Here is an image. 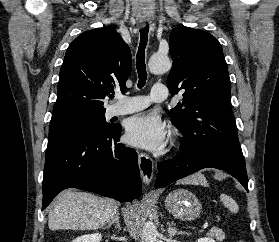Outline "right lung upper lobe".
Segmentation results:
<instances>
[{"instance_id":"obj_1","label":"right lung upper lobe","mask_w":279,"mask_h":242,"mask_svg":"<svg viewBox=\"0 0 279 242\" xmlns=\"http://www.w3.org/2000/svg\"><path fill=\"white\" fill-rule=\"evenodd\" d=\"M132 68L131 52L111 27L96 28L68 47L60 70L53 114L86 110L103 112V99L125 82Z\"/></svg>"}]
</instances>
